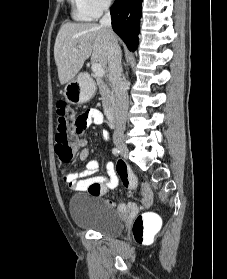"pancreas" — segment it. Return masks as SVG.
<instances>
[{
  "instance_id": "1",
  "label": "pancreas",
  "mask_w": 227,
  "mask_h": 279,
  "mask_svg": "<svg viewBox=\"0 0 227 279\" xmlns=\"http://www.w3.org/2000/svg\"><path fill=\"white\" fill-rule=\"evenodd\" d=\"M99 92L101 94L102 104L104 109L111 107L114 104V94L111 84L104 81L102 78L95 76Z\"/></svg>"
}]
</instances>
